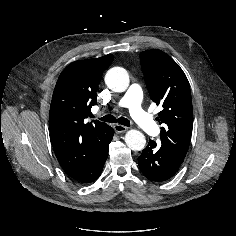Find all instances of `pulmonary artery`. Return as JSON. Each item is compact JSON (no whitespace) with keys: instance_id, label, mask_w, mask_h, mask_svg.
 Masks as SVG:
<instances>
[{"instance_id":"pulmonary-artery-1","label":"pulmonary artery","mask_w":236,"mask_h":236,"mask_svg":"<svg viewBox=\"0 0 236 236\" xmlns=\"http://www.w3.org/2000/svg\"><path fill=\"white\" fill-rule=\"evenodd\" d=\"M141 101V87L137 84H132L121 97L119 105L128 108L130 115L143 131L154 135L159 131V127L152 117L142 109Z\"/></svg>"}]
</instances>
